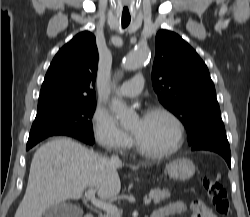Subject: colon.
I'll return each instance as SVG.
<instances>
[{"mask_svg":"<svg viewBox=\"0 0 250 217\" xmlns=\"http://www.w3.org/2000/svg\"><path fill=\"white\" fill-rule=\"evenodd\" d=\"M201 184L204 187L210 202L215 210L222 217L231 216V205L227 196V192L220 182L213 176H203Z\"/></svg>","mask_w":250,"mask_h":217,"instance_id":"obj_1","label":"colon"}]
</instances>
